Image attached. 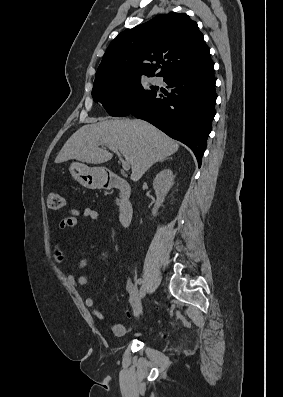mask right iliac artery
<instances>
[{"mask_svg": "<svg viewBox=\"0 0 283 397\" xmlns=\"http://www.w3.org/2000/svg\"><path fill=\"white\" fill-rule=\"evenodd\" d=\"M136 283H137V284H141V283H143V280H142L141 278H139V279L136 281Z\"/></svg>", "mask_w": 283, "mask_h": 397, "instance_id": "82829eb1", "label": "right iliac artery"}]
</instances>
